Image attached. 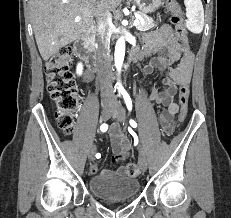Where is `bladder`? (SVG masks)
Returning <instances> with one entry per match:
<instances>
[{"label": "bladder", "mask_w": 231, "mask_h": 218, "mask_svg": "<svg viewBox=\"0 0 231 218\" xmlns=\"http://www.w3.org/2000/svg\"><path fill=\"white\" fill-rule=\"evenodd\" d=\"M140 184L128 176H95L89 181L90 191L97 197L108 201L129 200L135 197Z\"/></svg>", "instance_id": "31cf9c89"}]
</instances>
